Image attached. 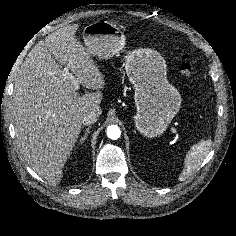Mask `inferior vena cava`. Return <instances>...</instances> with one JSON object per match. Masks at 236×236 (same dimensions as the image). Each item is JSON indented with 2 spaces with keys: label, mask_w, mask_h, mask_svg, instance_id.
Segmentation results:
<instances>
[{
  "label": "inferior vena cava",
  "mask_w": 236,
  "mask_h": 236,
  "mask_svg": "<svg viewBox=\"0 0 236 236\" xmlns=\"http://www.w3.org/2000/svg\"><path fill=\"white\" fill-rule=\"evenodd\" d=\"M99 116H100L99 113L95 111H88L82 114L81 122L83 125H86V126L91 125L98 120Z\"/></svg>",
  "instance_id": "obj_1"
}]
</instances>
